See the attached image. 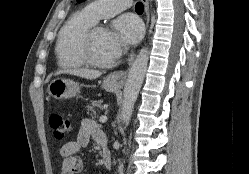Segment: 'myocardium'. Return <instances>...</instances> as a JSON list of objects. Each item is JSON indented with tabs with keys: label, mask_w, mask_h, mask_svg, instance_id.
I'll use <instances>...</instances> for the list:
<instances>
[{
	"label": "myocardium",
	"mask_w": 249,
	"mask_h": 174,
	"mask_svg": "<svg viewBox=\"0 0 249 174\" xmlns=\"http://www.w3.org/2000/svg\"><path fill=\"white\" fill-rule=\"evenodd\" d=\"M97 28L99 27H91L85 34L81 47V53L87 64L96 68H108L114 64V61L101 62L97 60L92 53L93 35Z\"/></svg>",
	"instance_id": "1"
}]
</instances>
